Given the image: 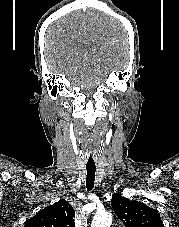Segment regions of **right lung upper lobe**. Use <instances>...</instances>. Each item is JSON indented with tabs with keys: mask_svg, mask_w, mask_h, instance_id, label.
<instances>
[{
	"mask_svg": "<svg viewBox=\"0 0 179 227\" xmlns=\"http://www.w3.org/2000/svg\"><path fill=\"white\" fill-rule=\"evenodd\" d=\"M74 216L73 207L61 199L28 219L24 227H75Z\"/></svg>",
	"mask_w": 179,
	"mask_h": 227,
	"instance_id": "cb5924a9",
	"label": "right lung upper lobe"
}]
</instances>
